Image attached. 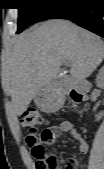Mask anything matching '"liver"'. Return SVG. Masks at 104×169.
I'll list each match as a JSON object with an SVG mask.
<instances>
[{
	"label": "liver",
	"instance_id": "6515ba94",
	"mask_svg": "<svg viewBox=\"0 0 104 169\" xmlns=\"http://www.w3.org/2000/svg\"><path fill=\"white\" fill-rule=\"evenodd\" d=\"M103 58L101 37L66 20H48L21 34L2 71V84L11 96L15 114L25 112L65 61L71 67L72 78L81 81L93 73Z\"/></svg>",
	"mask_w": 104,
	"mask_h": 169
}]
</instances>
